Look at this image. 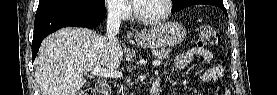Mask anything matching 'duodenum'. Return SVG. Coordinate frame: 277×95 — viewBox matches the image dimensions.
<instances>
[{
  "label": "duodenum",
  "instance_id": "obj_1",
  "mask_svg": "<svg viewBox=\"0 0 277 95\" xmlns=\"http://www.w3.org/2000/svg\"><path fill=\"white\" fill-rule=\"evenodd\" d=\"M160 79H155L150 87V95H160ZM96 90L98 94L101 95H110L111 94V86L109 83L101 82L96 86Z\"/></svg>",
  "mask_w": 277,
  "mask_h": 95
}]
</instances>
